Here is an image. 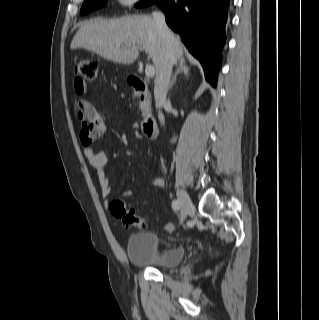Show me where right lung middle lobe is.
<instances>
[{
    "mask_svg": "<svg viewBox=\"0 0 319 320\" xmlns=\"http://www.w3.org/2000/svg\"><path fill=\"white\" fill-rule=\"evenodd\" d=\"M154 0H142L138 4L137 7H145L151 4ZM107 0H85L80 13L82 15L92 12L95 9L106 6Z\"/></svg>",
    "mask_w": 319,
    "mask_h": 320,
    "instance_id": "1",
    "label": "right lung middle lobe"
}]
</instances>
